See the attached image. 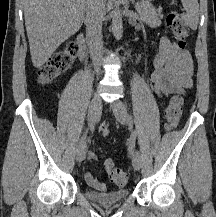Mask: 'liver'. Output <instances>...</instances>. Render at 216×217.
Segmentation results:
<instances>
[{
  "instance_id": "obj_1",
  "label": "liver",
  "mask_w": 216,
  "mask_h": 217,
  "mask_svg": "<svg viewBox=\"0 0 216 217\" xmlns=\"http://www.w3.org/2000/svg\"><path fill=\"white\" fill-rule=\"evenodd\" d=\"M87 0H24V16L34 67L44 65L56 49L81 27Z\"/></svg>"
}]
</instances>
